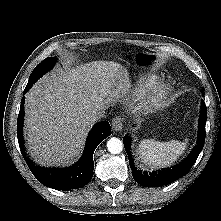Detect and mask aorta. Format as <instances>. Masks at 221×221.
<instances>
[{"label":"aorta","mask_w":221,"mask_h":221,"mask_svg":"<svg viewBox=\"0 0 221 221\" xmlns=\"http://www.w3.org/2000/svg\"><path fill=\"white\" fill-rule=\"evenodd\" d=\"M108 151L112 154H118L123 150V143L120 139L112 137L107 142Z\"/></svg>","instance_id":"1"}]
</instances>
